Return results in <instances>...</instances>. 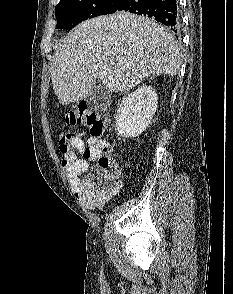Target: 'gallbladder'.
Segmentation results:
<instances>
[{"instance_id": "1", "label": "gallbladder", "mask_w": 233, "mask_h": 294, "mask_svg": "<svg viewBox=\"0 0 233 294\" xmlns=\"http://www.w3.org/2000/svg\"><path fill=\"white\" fill-rule=\"evenodd\" d=\"M110 100V91L100 82L97 81L90 93L86 97L87 103L96 110H104Z\"/></svg>"}]
</instances>
